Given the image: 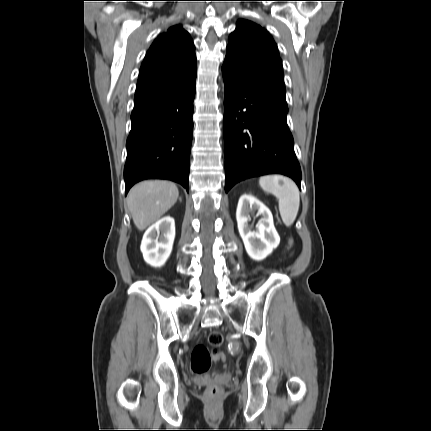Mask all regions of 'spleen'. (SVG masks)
<instances>
[{"label": "spleen", "instance_id": "3e777b00", "mask_svg": "<svg viewBox=\"0 0 431 431\" xmlns=\"http://www.w3.org/2000/svg\"><path fill=\"white\" fill-rule=\"evenodd\" d=\"M259 186L278 199L282 221L287 227L291 226L297 217L300 205L299 189L296 184L281 175H266L259 179Z\"/></svg>", "mask_w": 431, "mask_h": 431}]
</instances>
